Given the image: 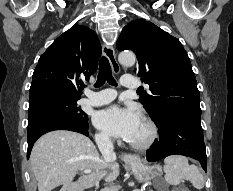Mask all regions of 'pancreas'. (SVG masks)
<instances>
[{"label":"pancreas","instance_id":"pancreas-1","mask_svg":"<svg viewBox=\"0 0 233 191\" xmlns=\"http://www.w3.org/2000/svg\"><path fill=\"white\" fill-rule=\"evenodd\" d=\"M119 186H106L101 191H119Z\"/></svg>","mask_w":233,"mask_h":191}]
</instances>
